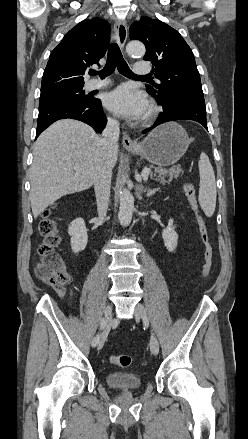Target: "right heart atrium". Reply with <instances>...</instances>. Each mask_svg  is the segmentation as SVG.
<instances>
[{
    "mask_svg": "<svg viewBox=\"0 0 248 439\" xmlns=\"http://www.w3.org/2000/svg\"><path fill=\"white\" fill-rule=\"evenodd\" d=\"M108 122H109L110 125H113V126H116V125H117V121H116L114 118H111V117H110V118L108 119Z\"/></svg>",
    "mask_w": 248,
    "mask_h": 439,
    "instance_id": "right-heart-atrium-1",
    "label": "right heart atrium"
}]
</instances>
